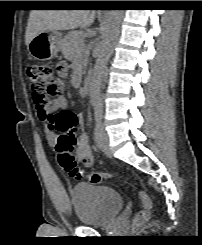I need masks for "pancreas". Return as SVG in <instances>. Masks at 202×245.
Here are the masks:
<instances>
[{
    "label": "pancreas",
    "mask_w": 202,
    "mask_h": 245,
    "mask_svg": "<svg viewBox=\"0 0 202 245\" xmlns=\"http://www.w3.org/2000/svg\"><path fill=\"white\" fill-rule=\"evenodd\" d=\"M83 38L80 32L72 31L68 33L61 42L60 49L66 59L75 61L80 58L83 51Z\"/></svg>",
    "instance_id": "cf45deb5"
}]
</instances>
